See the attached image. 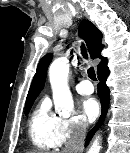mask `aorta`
Segmentation results:
<instances>
[{"label": "aorta", "instance_id": "obj_1", "mask_svg": "<svg viewBox=\"0 0 130 153\" xmlns=\"http://www.w3.org/2000/svg\"><path fill=\"white\" fill-rule=\"evenodd\" d=\"M69 62L67 58H57L49 68V79L53 92L55 111L59 115L69 116L74 109V102L68 86ZM100 136L91 145L88 153H99Z\"/></svg>", "mask_w": 130, "mask_h": 153}]
</instances>
